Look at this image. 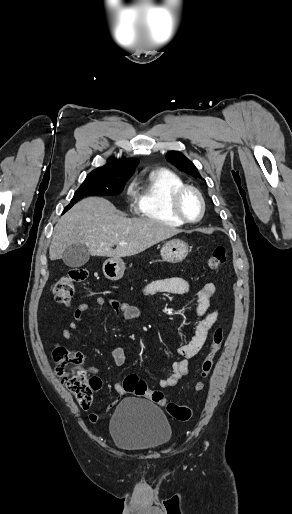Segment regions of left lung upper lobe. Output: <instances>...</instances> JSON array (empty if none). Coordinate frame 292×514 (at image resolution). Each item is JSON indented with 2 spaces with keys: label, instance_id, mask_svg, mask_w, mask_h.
I'll use <instances>...</instances> for the list:
<instances>
[{
  "label": "left lung upper lobe",
  "instance_id": "obj_1",
  "mask_svg": "<svg viewBox=\"0 0 292 514\" xmlns=\"http://www.w3.org/2000/svg\"><path fill=\"white\" fill-rule=\"evenodd\" d=\"M166 160L176 166L181 171H184L185 173L195 177V178H201L204 180L199 172L196 166L182 153L177 151H170L166 154Z\"/></svg>",
  "mask_w": 292,
  "mask_h": 514
}]
</instances>
